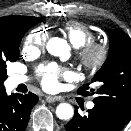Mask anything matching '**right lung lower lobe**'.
I'll list each match as a JSON object with an SVG mask.
<instances>
[{
  "mask_svg": "<svg viewBox=\"0 0 131 131\" xmlns=\"http://www.w3.org/2000/svg\"><path fill=\"white\" fill-rule=\"evenodd\" d=\"M38 102L37 95L29 92L26 95H7L0 91V131H24L33 106Z\"/></svg>",
  "mask_w": 131,
  "mask_h": 131,
  "instance_id": "right-lung-lower-lobe-1",
  "label": "right lung lower lobe"
}]
</instances>
